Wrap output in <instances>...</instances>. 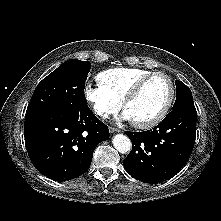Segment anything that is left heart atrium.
<instances>
[{
    "label": "left heart atrium",
    "mask_w": 221,
    "mask_h": 221,
    "mask_svg": "<svg viewBox=\"0 0 221 221\" xmlns=\"http://www.w3.org/2000/svg\"><path fill=\"white\" fill-rule=\"evenodd\" d=\"M121 119L126 121H132L127 111L123 112V114L121 115Z\"/></svg>",
    "instance_id": "39dd6f15"
}]
</instances>
